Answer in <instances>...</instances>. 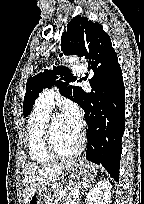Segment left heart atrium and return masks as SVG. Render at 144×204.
Listing matches in <instances>:
<instances>
[{"label":"left heart atrium","mask_w":144,"mask_h":204,"mask_svg":"<svg viewBox=\"0 0 144 204\" xmlns=\"http://www.w3.org/2000/svg\"><path fill=\"white\" fill-rule=\"evenodd\" d=\"M63 117L74 132L80 135L82 128V117L79 108L73 103L68 104L65 108Z\"/></svg>","instance_id":"left-heart-atrium-1"}]
</instances>
